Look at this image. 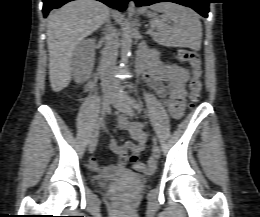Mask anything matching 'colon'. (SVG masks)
<instances>
[{"label":"colon","instance_id":"1","mask_svg":"<svg viewBox=\"0 0 260 217\" xmlns=\"http://www.w3.org/2000/svg\"><path fill=\"white\" fill-rule=\"evenodd\" d=\"M177 58L184 63L191 66L192 78L190 81V105L193 107L200 99L202 89V62L200 55L195 51L181 50L177 52ZM134 169L137 172H147L146 164L141 162H134Z\"/></svg>","mask_w":260,"mask_h":217}]
</instances>
